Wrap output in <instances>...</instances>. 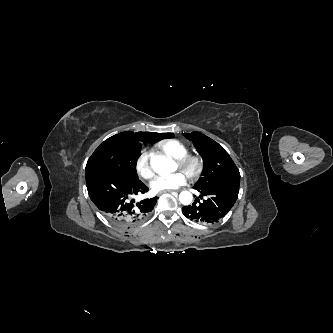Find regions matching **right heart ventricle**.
Listing matches in <instances>:
<instances>
[{
	"label": "right heart ventricle",
	"instance_id": "1",
	"mask_svg": "<svg viewBox=\"0 0 333 333\" xmlns=\"http://www.w3.org/2000/svg\"><path fill=\"white\" fill-rule=\"evenodd\" d=\"M156 147L166 155L177 160L188 154L187 146L176 139L161 141Z\"/></svg>",
	"mask_w": 333,
	"mask_h": 333
}]
</instances>
